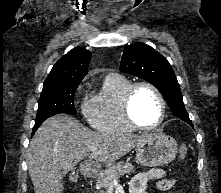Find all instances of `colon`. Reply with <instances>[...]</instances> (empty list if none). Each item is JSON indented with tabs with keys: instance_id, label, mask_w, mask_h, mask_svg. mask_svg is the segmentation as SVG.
Returning <instances> with one entry per match:
<instances>
[{
	"instance_id": "obj_1",
	"label": "colon",
	"mask_w": 221,
	"mask_h": 193,
	"mask_svg": "<svg viewBox=\"0 0 221 193\" xmlns=\"http://www.w3.org/2000/svg\"><path fill=\"white\" fill-rule=\"evenodd\" d=\"M186 154H187V147L185 145H183V146H181L180 151H179V159H181V160L184 159ZM71 179L76 180V175L72 174Z\"/></svg>"
}]
</instances>
